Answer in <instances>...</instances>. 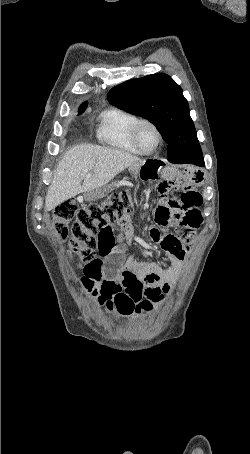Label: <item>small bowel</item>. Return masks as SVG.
Listing matches in <instances>:
<instances>
[{
  "instance_id": "small-bowel-1",
  "label": "small bowel",
  "mask_w": 250,
  "mask_h": 454,
  "mask_svg": "<svg viewBox=\"0 0 250 454\" xmlns=\"http://www.w3.org/2000/svg\"><path fill=\"white\" fill-rule=\"evenodd\" d=\"M203 173L195 170L184 176H173L142 187L145 193L155 189L159 202L155 208L156 227L151 239L161 245L171 264L161 266L150 261L126 258L117 245L112 225L98 234L99 258L88 262L81 283L94 301L110 312L136 319L152 314L171 290V283L180 276L184 258L193 242L203 217L199 187ZM181 189L179 198L170 193ZM119 237L132 238L129 217L117 223ZM173 228V232H168ZM167 231V232H162Z\"/></svg>"
}]
</instances>
